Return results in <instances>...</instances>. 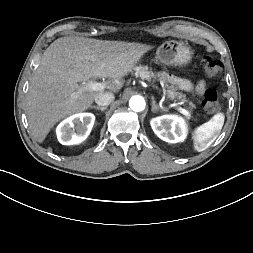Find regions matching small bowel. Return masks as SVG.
Listing matches in <instances>:
<instances>
[{"label": "small bowel", "instance_id": "obj_1", "mask_svg": "<svg viewBox=\"0 0 253 253\" xmlns=\"http://www.w3.org/2000/svg\"><path fill=\"white\" fill-rule=\"evenodd\" d=\"M180 85L186 86L184 82H180ZM196 89L198 92H202L204 89V82L203 81L199 82Z\"/></svg>", "mask_w": 253, "mask_h": 253}]
</instances>
